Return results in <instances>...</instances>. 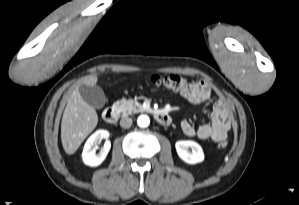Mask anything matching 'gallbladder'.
Masks as SVG:
<instances>
[{
  "label": "gallbladder",
  "mask_w": 299,
  "mask_h": 205,
  "mask_svg": "<svg viewBox=\"0 0 299 205\" xmlns=\"http://www.w3.org/2000/svg\"><path fill=\"white\" fill-rule=\"evenodd\" d=\"M81 97L90 106L96 109L102 108L106 103V97L103 90L99 86H88L81 84L78 87Z\"/></svg>",
  "instance_id": "gallbladder-1"
}]
</instances>
